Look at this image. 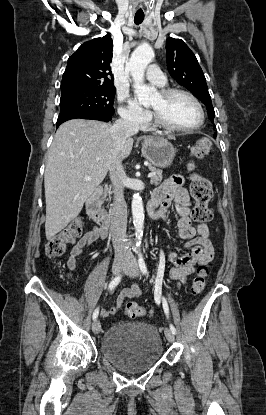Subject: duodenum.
Wrapping results in <instances>:
<instances>
[{"label": "duodenum", "mask_w": 266, "mask_h": 415, "mask_svg": "<svg viewBox=\"0 0 266 415\" xmlns=\"http://www.w3.org/2000/svg\"><path fill=\"white\" fill-rule=\"evenodd\" d=\"M103 188L96 187L86 201V210L89 217L104 231L110 227V216L101 208Z\"/></svg>", "instance_id": "410a0bca"}]
</instances>
